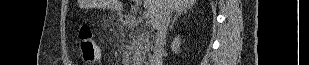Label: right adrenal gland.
<instances>
[{"label": "right adrenal gland", "mask_w": 309, "mask_h": 65, "mask_svg": "<svg viewBox=\"0 0 309 65\" xmlns=\"http://www.w3.org/2000/svg\"><path fill=\"white\" fill-rule=\"evenodd\" d=\"M188 10H191V7H188V8H184L182 10H178L176 12V14L174 15V18L169 26V30H172L173 29V25L174 23L176 22V20L178 19L179 16L183 15V14H186Z\"/></svg>", "instance_id": "obj_1"}]
</instances>
